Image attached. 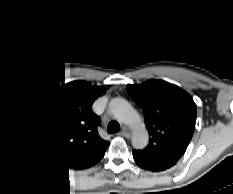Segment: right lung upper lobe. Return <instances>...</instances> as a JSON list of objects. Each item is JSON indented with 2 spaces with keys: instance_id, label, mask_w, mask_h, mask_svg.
<instances>
[{
  "instance_id": "right-lung-upper-lobe-1",
  "label": "right lung upper lobe",
  "mask_w": 233,
  "mask_h": 194,
  "mask_svg": "<svg viewBox=\"0 0 233 194\" xmlns=\"http://www.w3.org/2000/svg\"><path fill=\"white\" fill-rule=\"evenodd\" d=\"M101 94L97 87L74 82L61 86L43 103L42 134L62 165L85 168L104 156L109 142L97 134L100 118L90 111Z\"/></svg>"
}]
</instances>
